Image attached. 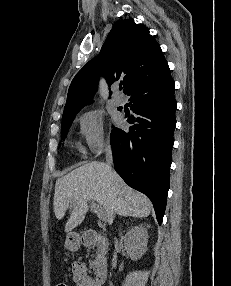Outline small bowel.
I'll return each instance as SVG.
<instances>
[{"label": "small bowel", "instance_id": "c3829d8e", "mask_svg": "<svg viewBox=\"0 0 231 286\" xmlns=\"http://www.w3.org/2000/svg\"><path fill=\"white\" fill-rule=\"evenodd\" d=\"M71 276L76 286H97L95 279L89 275L86 265L82 262L72 263Z\"/></svg>", "mask_w": 231, "mask_h": 286}]
</instances>
